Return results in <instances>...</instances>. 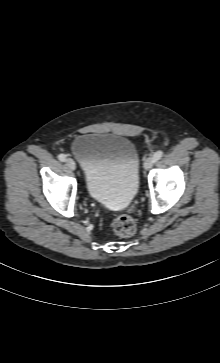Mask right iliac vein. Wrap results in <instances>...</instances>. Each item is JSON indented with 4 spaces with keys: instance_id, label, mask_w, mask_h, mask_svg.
<instances>
[{
    "instance_id": "1",
    "label": "right iliac vein",
    "mask_w": 220,
    "mask_h": 363,
    "mask_svg": "<svg viewBox=\"0 0 220 363\" xmlns=\"http://www.w3.org/2000/svg\"><path fill=\"white\" fill-rule=\"evenodd\" d=\"M65 164L71 170H75L76 169V164H75L74 160L71 159V158L66 159Z\"/></svg>"
}]
</instances>
